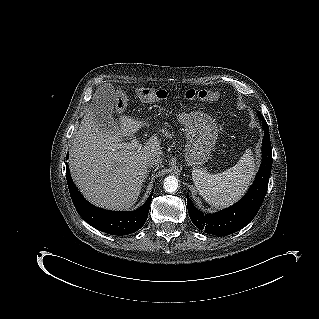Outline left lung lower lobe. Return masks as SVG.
<instances>
[{"label":"left lung lower lobe","mask_w":319,"mask_h":319,"mask_svg":"<svg viewBox=\"0 0 319 319\" xmlns=\"http://www.w3.org/2000/svg\"><path fill=\"white\" fill-rule=\"evenodd\" d=\"M264 129L262 144V164L246 195L236 204L214 214L204 215L187 196L189 216L193 224L205 233L229 235L244 228L257 214L267 192L272 166V152L268 125L258 113Z\"/></svg>","instance_id":"left-lung-lower-lobe-1"}]
</instances>
